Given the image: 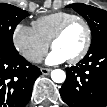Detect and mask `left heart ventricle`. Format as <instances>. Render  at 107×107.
Returning a JSON list of instances; mask_svg holds the SVG:
<instances>
[{
  "instance_id": "obj_1",
  "label": "left heart ventricle",
  "mask_w": 107,
  "mask_h": 107,
  "mask_svg": "<svg viewBox=\"0 0 107 107\" xmlns=\"http://www.w3.org/2000/svg\"><path fill=\"white\" fill-rule=\"evenodd\" d=\"M86 41V30L82 23L72 24L64 35L55 42L53 49L59 51L67 59L76 56Z\"/></svg>"
}]
</instances>
